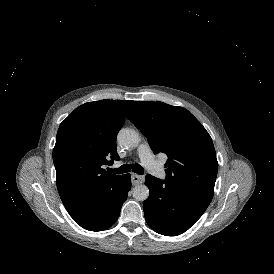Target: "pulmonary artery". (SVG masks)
I'll return each mask as SVG.
<instances>
[{
  "mask_svg": "<svg viewBox=\"0 0 274 274\" xmlns=\"http://www.w3.org/2000/svg\"><path fill=\"white\" fill-rule=\"evenodd\" d=\"M137 153L140 157V160L143 165H146L148 171L151 174H155L158 177H161L164 174V170L158 165L154 164L153 153L151 148L147 142H143L137 149Z\"/></svg>",
  "mask_w": 274,
  "mask_h": 274,
  "instance_id": "e3ab8cb5",
  "label": "pulmonary artery"
}]
</instances>
